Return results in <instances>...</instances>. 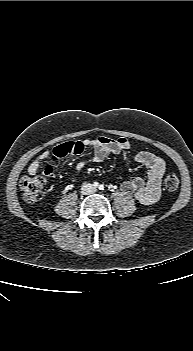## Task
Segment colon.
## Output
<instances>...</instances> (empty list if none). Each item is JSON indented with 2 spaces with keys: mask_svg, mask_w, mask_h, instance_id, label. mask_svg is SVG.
I'll use <instances>...</instances> for the list:
<instances>
[{
  "mask_svg": "<svg viewBox=\"0 0 193 351\" xmlns=\"http://www.w3.org/2000/svg\"><path fill=\"white\" fill-rule=\"evenodd\" d=\"M50 159L54 161L51 156ZM164 185L168 190H175L179 185V178L175 173H167L164 177ZM45 187V179L42 176H25L20 181V190L24 201L36 202Z\"/></svg>",
  "mask_w": 193,
  "mask_h": 351,
  "instance_id": "1",
  "label": "colon"
}]
</instances>
